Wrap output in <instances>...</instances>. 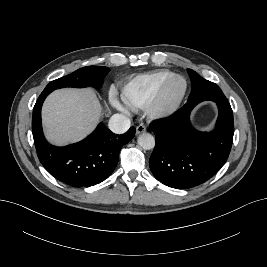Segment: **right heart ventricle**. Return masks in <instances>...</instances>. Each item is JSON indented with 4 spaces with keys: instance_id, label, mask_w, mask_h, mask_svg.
<instances>
[{
    "instance_id": "1",
    "label": "right heart ventricle",
    "mask_w": 267,
    "mask_h": 267,
    "mask_svg": "<svg viewBox=\"0 0 267 267\" xmlns=\"http://www.w3.org/2000/svg\"><path fill=\"white\" fill-rule=\"evenodd\" d=\"M174 75L168 70L137 75L121 89L123 103L131 110L146 108L161 84Z\"/></svg>"
}]
</instances>
